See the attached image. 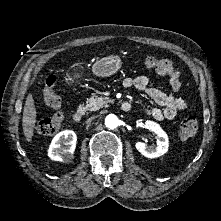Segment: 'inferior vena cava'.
Listing matches in <instances>:
<instances>
[{
	"instance_id": "1",
	"label": "inferior vena cava",
	"mask_w": 221,
	"mask_h": 221,
	"mask_svg": "<svg viewBox=\"0 0 221 221\" xmlns=\"http://www.w3.org/2000/svg\"><path fill=\"white\" fill-rule=\"evenodd\" d=\"M93 119H94V117L87 119V123H90Z\"/></svg>"
}]
</instances>
